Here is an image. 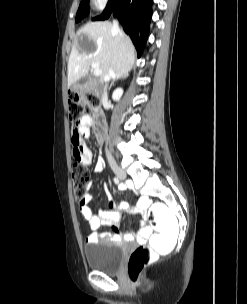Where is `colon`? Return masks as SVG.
<instances>
[{
  "instance_id": "5ec220e1",
  "label": "colon",
  "mask_w": 247,
  "mask_h": 304,
  "mask_svg": "<svg viewBox=\"0 0 247 304\" xmlns=\"http://www.w3.org/2000/svg\"><path fill=\"white\" fill-rule=\"evenodd\" d=\"M99 104V98L93 93H85L81 90L70 91L68 100L70 121L80 122L83 116L92 113ZM89 181L90 175L85 165H75L74 162L72 182L79 203L84 199ZM148 215L154 235L150 239V245H140L130 255L128 275L133 283L139 281L143 269L153 260L154 253H173V244H176L178 238L180 221L176 220V214H171V210H168L164 202H153L152 206H149Z\"/></svg>"
}]
</instances>
